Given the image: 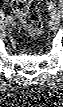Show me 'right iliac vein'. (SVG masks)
I'll return each mask as SVG.
<instances>
[{"label":"right iliac vein","mask_w":63,"mask_h":107,"mask_svg":"<svg viewBox=\"0 0 63 107\" xmlns=\"http://www.w3.org/2000/svg\"><path fill=\"white\" fill-rule=\"evenodd\" d=\"M5 22H6L7 24H13L14 20H13V18H12L11 16H8V17L6 18V20H5Z\"/></svg>","instance_id":"right-iliac-vein-1"}]
</instances>
